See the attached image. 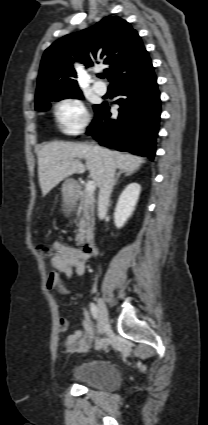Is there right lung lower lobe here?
Segmentation results:
<instances>
[{
	"instance_id": "98d812e1",
	"label": "right lung lower lobe",
	"mask_w": 208,
	"mask_h": 425,
	"mask_svg": "<svg viewBox=\"0 0 208 425\" xmlns=\"http://www.w3.org/2000/svg\"><path fill=\"white\" fill-rule=\"evenodd\" d=\"M149 56L126 68L111 84L120 105L119 115L111 118L106 103L94 109L95 118L88 134L100 145L135 153L153 160L160 119V94Z\"/></svg>"
}]
</instances>
